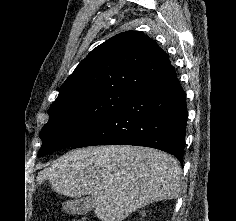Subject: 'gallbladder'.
I'll return each mask as SVG.
<instances>
[{
	"instance_id": "1",
	"label": "gallbladder",
	"mask_w": 236,
	"mask_h": 221,
	"mask_svg": "<svg viewBox=\"0 0 236 221\" xmlns=\"http://www.w3.org/2000/svg\"><path fill=\"white\" fill-rule=\"evenodd\" d=\"M95 200L92 196L71 199L63 203L62 209L68 214L83 215L94 209Z\"/></svg>"
}]
</instances>
